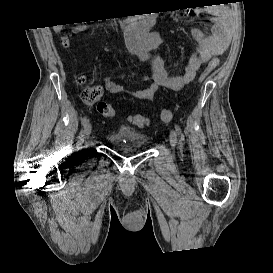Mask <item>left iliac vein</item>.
<instances>
[{
  "label": "left iliac vein",
  "mask_w": 273,
  "mask_h": 273,
  "mask_svg": "<svg viewBox=\"0 0 273 273\" xmlns=\"http://www.w3.org/2000/svg\"><path fill=\"white\" fill-rule=\"evenodd\" d=\"M170 144L172 146V149L174 150L176 144H177V134L175 130H171L170 132Z\"/></svg>",
  "instance_id": "left-iliac-vein-1"
}]
</instances>
